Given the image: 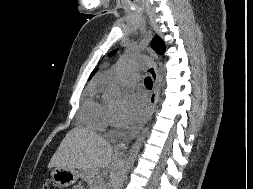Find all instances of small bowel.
<instances>
[{"label":"small bowel","mask_w":253,"mask_h":189,"mask_svg":"<svg viewBox=\"0 0 253 189\" xmlns=\"http://www.w3.org/2000/svg\"><path fill=\"white\" fill-rule=\"evenodd\" d=\"M74 189H82L80 186L75 187Z\"/></svg>","instance_id":"obj_1"}]
</instances>
